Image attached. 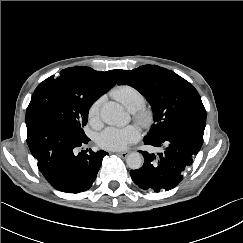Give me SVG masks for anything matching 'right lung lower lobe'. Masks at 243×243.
<instances>
[{"label":"right lung lower lobe","instance_id":"right-lung-lower-lobe-1","mask_svg":"<svg viewBox=\"0 0 243 243\" xmlns=\"http://www.w3.org/2000/svg\"><path fill=\"white\" fill-rule=\"evenodd\" d=\"M26 126L29 149L40 172L55 189L79 193L92 186L107 152L87 149L77 154L78 147L90 139L47 114L26 116Z\"/></svg>","mask_w":243,"mask_h":243}]
</instances>
